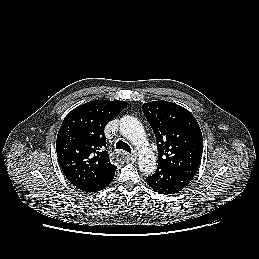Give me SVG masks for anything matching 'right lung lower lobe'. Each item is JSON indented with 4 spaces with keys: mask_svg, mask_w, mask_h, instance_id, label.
Here are the masks:
<instances>
[{
    "mask_svg": "<svg viewBox=\"0 0 259 259\" xmlns=\"http://www.w3.org/2000/svg\"><path fill=\"white\" fill-rule=\"evenodd\" d=\"M115 170L109 171L108 173H106L103 177H101L100 179L86 184L84 186L78 187L80 190L82 191H86V192H97L102 190L103 188H105L108 184H110L114 178L115 175Z\"/></svg>",
    "mask_w": 259,
    "mask_h": 259,
    "instance_id": "98d812e1",
    "label": "right lung lower lobe"
}]
</instances>
